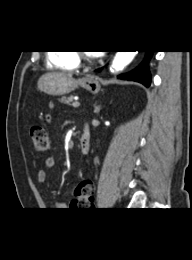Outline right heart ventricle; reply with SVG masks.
<instances>
[{
    "label": "right heart ventricle",
    "mask_w": 192,
    "mask_h": 260,
    "mask_svg": "<svg viewBox=\"0 0 192 260\" xmlns=\"http://www.w3.org/2000/svg\"><path fill=\"white\" fill-rule=\"evenodd\" d=\"M48 65L63 70H75L80 61L74 51L50 52L47 56Z\"/></svg>",
    "instance_id": "1"
}]
</instances>
